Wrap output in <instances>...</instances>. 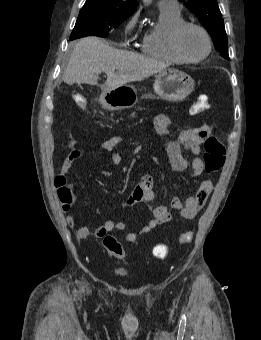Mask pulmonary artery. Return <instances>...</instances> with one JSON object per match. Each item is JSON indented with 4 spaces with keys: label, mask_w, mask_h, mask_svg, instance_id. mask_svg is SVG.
I'll return each instance as SVG.
<instances>
[{
    "label": "pulmonary artery",
    "mask_w": 261,
    "mask_h": 340,
    "mask_svg": "<svg viewBox=\"0 0 261 340\" xmlns=\"http://www.w3.org/2000/svg\"><path fill=\"white\" fill-rule=\"evenodd\" d=\"M159 8L179 11L181 6L177 0H160Z\"/></svg>",
    "instance_id": "e3ab8cb5"
}]
</instances>
